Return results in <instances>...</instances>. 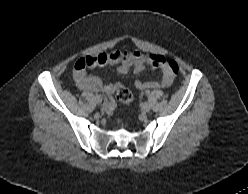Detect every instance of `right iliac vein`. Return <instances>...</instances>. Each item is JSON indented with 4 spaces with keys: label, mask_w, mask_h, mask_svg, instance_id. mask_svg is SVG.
I'll list each match as a JSON object with an SVG mask.
<instances>
[{
    "label": "right iliac vein",
    "mask_w": 248,
    "mask_h": 194,
    "mask_svg": "<svg viewBox=\"0 0 248 194\" xmlns=\"http://www.w3.org/2000/svg\"><path fill=\"white\" fill-rule=\"evenodd\" d=\"M95 101H96L97 104H101L102 103V98L97 96V97H95Z\"/></svg>",
    "instance_id": "63e3f726"
}]
</instances>
